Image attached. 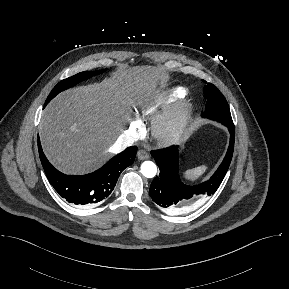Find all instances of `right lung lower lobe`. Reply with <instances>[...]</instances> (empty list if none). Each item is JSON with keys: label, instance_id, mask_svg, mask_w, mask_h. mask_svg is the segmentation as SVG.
<instances>
[{"label": "right lung lower lobe", "instance_id": "98d812e1", "mask_svg": "<svg viewBox=\"0 0 289 289\" xmlns=\"http://www.w3.org/2000/svg\"><path fill=\"white\" fill-rule=\"evenodd\" d=\"M38 150L45 174L61 197L76 205H94L111 194L121 172L133 164L137 147H128L99 170L83 176L65 175L55 169L44 155L39 139Z\"/></svg>", "mask_w": 289, "mask_h": 289}]
</instances>
